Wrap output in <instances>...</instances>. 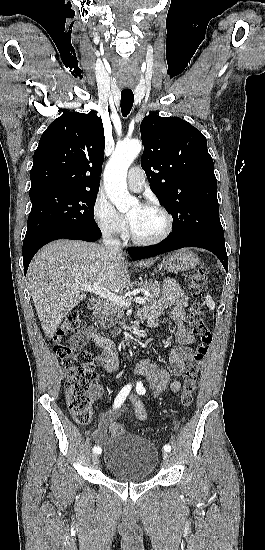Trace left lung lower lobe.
<instances>
[{
	"instance_id": "obj_1",
	"label": "left lung lower lobe",
	"mask_w": 265,
	"mask_h": 550,
	"mask_svg": "<svg viewBox=\"0 0 265 550\" xmlns=\"http://www.w3.org/2000/svg\"><path fill=\"white\" fill-rule=\"evenodd\" d=\"M189 246L200 247L211 251L222 262L225 270L228 271V257L225 242H220L207 236L185 235L175 238L168 237L162 244L157 246L128 248V253L133 259L139 260Z\"/></svg>"
}]
</instances>
